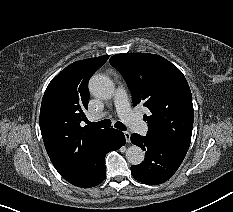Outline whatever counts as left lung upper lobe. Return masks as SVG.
I'll list each match as a JSON object with an SVG mask.
<instances>
[{"instance_id": "5c2ea615", "label": "left lung upper lobe", "mask_w": 233, "mask_h": 212, "mask_svg": "<svg viewBox=\"0 0 233 212\" xmlns=\"http://www.w3.org/2000/svg\"><path fill=\"white\" fill-rule=\"evenodd\" d=\"M125 79L133 105L143 103L148 136L189 148L194 110L183 73L165 58L147 53H122L110 58Z\"/></svg>"}]
</instances>
